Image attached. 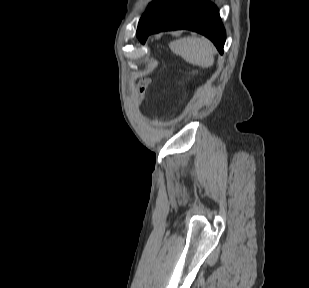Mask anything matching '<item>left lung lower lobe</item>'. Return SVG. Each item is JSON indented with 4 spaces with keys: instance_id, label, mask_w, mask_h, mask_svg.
<instances>
[{
    "instance_id": "1",
    "label": "left lung lower lobe",
    "mask_w": 309,
    "mask_h": 288,
    "mask_svg": "<svg viewBox=\"0 0 309 288\" xmlns=\"http://www.w3.org/2000/svg\"><path fill=\"white\" fill-rule=\"evenodd\" d=\"M177 29L205 35L223 54L225 29L217 7L207 0H158L136 35L141 43H145L149 34Z\"/></svg>"
}]
</instances>
